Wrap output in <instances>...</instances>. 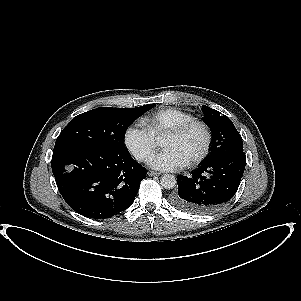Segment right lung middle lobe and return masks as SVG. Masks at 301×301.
I'll return each instance as SVG.
<instances>
[{
	"instance_id": "obj_1",
	"label": "right lung middle lobe",
	"mask_w": 301,
	"mask_h": 301,
	"mask_svg": "<svg viewBox=\"0 0 301 301\" xmlns=\"http://www.w3.org/2000/svg\"><path fill=\"white\" fill-rule=\"evenodd\" d=\"M153 104L138 108L102 107L77 115L61 131L54 151L80 145L100 146L127 152L124 136L127 127Z\"/></svg>"
}]
</instances>
